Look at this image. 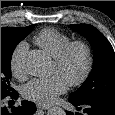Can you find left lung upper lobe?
<instances>
[{"instance_id": "left-lung-upper-lobe-1", "label": "left lung upper lobe", "mask_w": 115, "mask_h": 115, "mask_svg": "<svg viewBox=\"0 0 115 115\" xmlns=\"http://www.w3.org/2000/svg\"><path fill=\"white\" fill-rule=\"evenodd\" d=\"M87 38L94 52L93 69L69 99L83 104L93 101L115 103V53L105 36L89 24L70 25Z\"/></svg>"}]
</instances>
